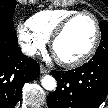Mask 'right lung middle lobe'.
<instances>
[{
	"instance_id": "1",
	"label": "right lung middle lobe",
	"mask_w": 108,
	"mask_h": 108,
	"mask_svg": "<svg viewBox=\"0 0 108 108\" xmlns=\"http://www.w3.org/2000/svg\"><path fill=\"white\" fill-rule=\"evenodd\" d=\"M17 2L13 0H0V25L13 27L12 16Z\"/></svg>"
}]
</instances>
